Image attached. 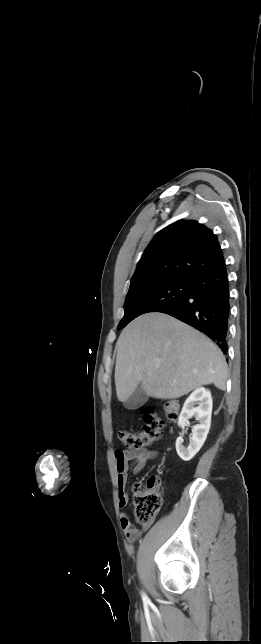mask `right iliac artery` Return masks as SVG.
<instances>
[{"label":"right iliac artery","instance_id":"obj_1","mask_svg":"<svg viewBox=\"0 0 261 644\" xmlns=\"http://www.w3.org/2000/svg\"><path fill=\"white\" fill-rule=\"evenodd\" d=\"M142 597H143V599H147V596H146L145 594H143V596H142Z\"/></svg>","mask_w":261,"mask_h":644}]
</instances>
